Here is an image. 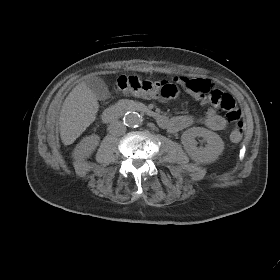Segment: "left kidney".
Returning a JSON list of instances; mask_svg holds the SVG:
<instances>
[{"mask_svg":"<svg viewBox=\"0 0 280 280\" xmlns=\"http://www.w3.org/2000/svg\"><path fill=\"white\" fill-rule=\"evenodd\" d=\"M201 136L207 141L204 148H198L195 137ZM182 143L188 155L199 162H209L217 159L224 149V143L218 134L201 127H193L182 135Z\"/></svg>","mask_w":280,"mask_h":280,"instance_id":"1","label":"left kidney"}]
</instances>
